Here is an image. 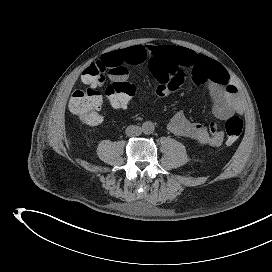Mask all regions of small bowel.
<instances>
[{
	"mask_svg": "<svg viewBox=\"0 0 272 272\" xmlns=\"http://www.w3.org/2000/svg\"><path fill=\"white\" fill-rule=\"evenodd\" d=\"M146 61L158 80L155 89L157 96L166 97L174 93L190 78L196 86L207 87L213 113L217 118L225 120L234 114L243 113L242 99L226 69L220 63L192 50L173 45H135L109 52L98 62L109 68L121 66L127 70V65ZM168 128L178 136L211 147H220L224 142V133L217 129L215 123L207 127L190 121L181 112L171 118Z\"/></svg>",
	"mask_w": 272,
	"mask_h": 272,
	"instance_id": "obj_1",
	"label": "small bowel"
}]
</instances>
